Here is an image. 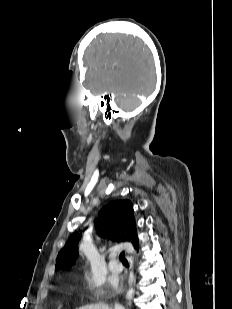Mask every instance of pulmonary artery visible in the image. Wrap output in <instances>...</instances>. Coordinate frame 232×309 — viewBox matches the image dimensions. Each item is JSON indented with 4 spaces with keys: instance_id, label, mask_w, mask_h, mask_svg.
Segmentation results:
<instances>
[{
    "instance_id": "obj_1",
    "label": "pulmonary artery",
    "mask_w": 232,
    "mask_h": 309,
    "mask_svg": "<svg viewBox=\"0 0 232 309\" xmlns=\"http://www.w3.org/2000/svg\"><path fill=\"white\" fill-rule=\"evenodd\" d=\"M113 257L114 256H112L111 260L108 263V268H109L110 272H112L114 274L121 273L122 270H123V266L121 264H119Z\"/></svg>"
}]
</instances>
